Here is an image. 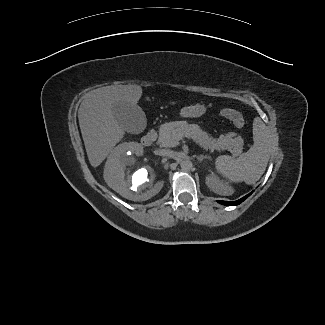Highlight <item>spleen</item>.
Instances as JSON below:
<instances>
[{"label": "spleen", "mask_w": 325, "mask_h": 325, "mask_svg": "<svg viewBox=\"0 0 325 325\" xmlns=\"http://www.w3.org/2000/svg\"><path fill=\"white\" fill-rule=\"evenodd\" d=\"M253 146L238 158L223 155L215 160L216 170L230 182L255 184L263 175L271 152L268 127L259 118L253 121Z\"/></svg>", "instance_id": "3e777b00"}]
</instances>
